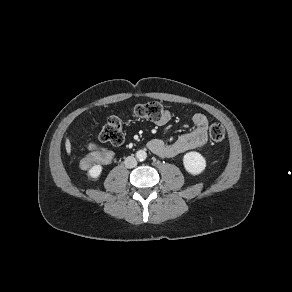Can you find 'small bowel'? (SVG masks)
<instances>
[{"label":"small bowel","instance_id":"c3829d8e","mask_svg":"<svg viewBox=\"0 0 292 292\" xmlns=\"http://www.w3.org/2000/svg\"><path fill=\"white\" fill-rule=\"evenodd\" d=\"M170 115L168 111L164 117L157 122L158 125H164L168 122ZM193 129L180 136L172 143H166L162 139H153L149 142V149L162 158L176 157L187 151L194 150L204 146L208 141L207 129L208 120L205 115L196 113L190 116Z\"/></svg>","mask_w":292,"mask_h":292}]
</instances>
